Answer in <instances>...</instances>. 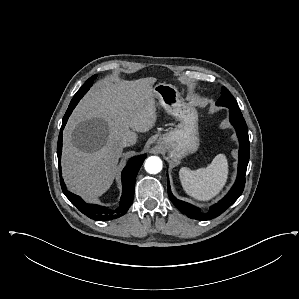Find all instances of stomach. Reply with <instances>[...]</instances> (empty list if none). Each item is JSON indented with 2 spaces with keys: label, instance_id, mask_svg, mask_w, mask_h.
I'll return each mask as SVG.
<instances>
[{
  "label": "stomach",
  "instance_id": "1",
  "mask_svg": "<svg viewBox=\"0 0 299 299\" xmlns=\"http://www.w3.org/2000/svg\"><path fill=\"white\" fill-rule=\"evenodd\" d=\"M153 92L165 111L180 122L177 128L161 135L157 144L168 152L172 160H179L197 151L198 113L195 107L183 102L178 90L171 84L159 83L153 87Z\"/></svg>",
  "mask_w": 299,
  "mask_h": 299
}]
</instances>
